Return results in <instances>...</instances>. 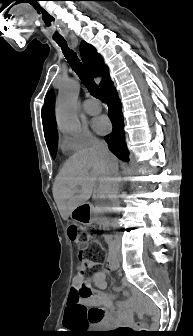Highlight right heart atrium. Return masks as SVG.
<instances>
[{
	"instance_id": "d8ad5b80",
	"label": "right heart atrium",
	"mask_w": 193,
	"mask_h": 336,
	"mask_svg": "<svg viewBox=\"0 0 193 336\" xmlns=\"http://www.w3.org/2000/svg\"><path fill=\"white\" fill-rule=\"evenodd\" d=\"M96 141V137L88 129L81 128L74 134L64 135L61 145L67 151H80L86 149Z\"/></svg>"
}]
</instances>
